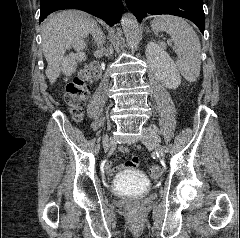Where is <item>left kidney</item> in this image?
<instances>
[{
	"label": "left kidney",
	"mask_w": 240,
	"mask_h": 238,
	"mask_svg": "<svg viewBox=\"0 0 240 238\" xmlns=\"http://www.w3.org/2000/svg\"><path fill=\"white\" fill-rule=\"evenodd\" d=\"M145 53L151 70L161 83L169 89H176L181 83L180 73L162 46L151 41L147 44Z\"/></svg>",
	"instance_id": "obj_1"
}]
</instances>
